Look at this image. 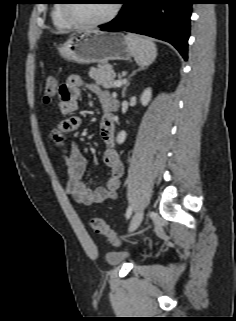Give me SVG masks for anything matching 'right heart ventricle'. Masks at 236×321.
I'll use <instances>...</instances> for the list:
<instances>
[{
  "instance_id": "obj_1",
  "label": "right heart ventricle",
  "mask_w": 236,
  "mask_h": 321,
  "mask_svg": "<svg viewBox=\"0 0 236 321\" xmlns=\"http://www.w3.org/2000/svg\"><path fill=\"white\" fill-rule=\"evenodd\" d=\"M62 2V1H59ZM52 21L54 25L59 29H68L73 24L68 21L63 14V3H57L52 10Z\"/></svg>"
}]
</instances>
